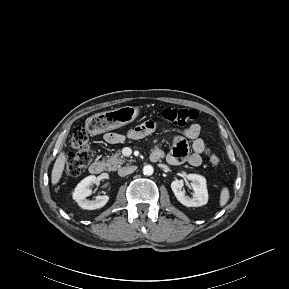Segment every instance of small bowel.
Wrapping results in <instances>:
<instances>
[{
    "label": "small bowel",
    "mask_w": 289,
    "mask_h": 289,
    "mask_svg": "<svg viewBox=\"0 0 289 289\" xmlns=\"http://www.w3.org/2000/svg\"><path fill=\"white\" fill-rule=\"evenodd\" d=\"M156 128L157 122L154 120H148L129 130L125 134L116 132L107 133L104 136V139L110 144L120 143L124 139L138 140L152 134L155 132ZM185 138L192 140L191 152L189 151ZM204 150L205 143L200 138V126L193 124L185 129L184 137L178 136L174 138L172 149L167 154V161L173 165L188 162L193 166H199L202 162L201 154L204 152ZM153 153H157L161 157L164 156L163 150L159 148L156 149Z\"/></svg>",
    "instance_id": "small-bowel-1"
}]
</instances>
